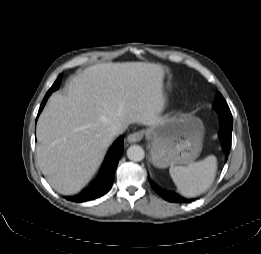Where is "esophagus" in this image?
Instances as JSON below:
<instances>
[{
  "mask_svg": "<svg viewBox=\"0 0 261 254\" xmlns=\"http://www.w3.org/2000/svg\"><path fill=\"white\" fill-rule=\"evenodd\" d=\"M144 136V132L143 131H137V132H134L132 134H130L128 137H127V141L129 143H136V142H139Z\"/></svg>",
  "mask_w": 261,
  "mask_h": 254,
  "instance_id": "obj_1",
  "label": "esophagus"
}]
</instances>
